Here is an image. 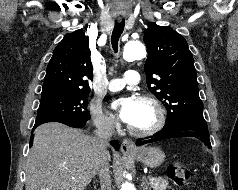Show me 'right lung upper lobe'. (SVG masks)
Here are the masks:
<instances>
[{
    "instance_id": "cb5924a9",
    "label": "right lung upper lobe",
    "mask_w": 238,
    "mask_h": 190,
    "mask_svg": "<svg viewBox=\"0 0 238 190\" xmlns=\"http://www.w3.org/2000/svg\"><path fill=\"white\" fill-rule=\"evenodd\" d=\"M90 54L89 37L81 29L67 33L47 66L41 97L89 92L93 78Z\"/></svg>"
}]
</instances>
